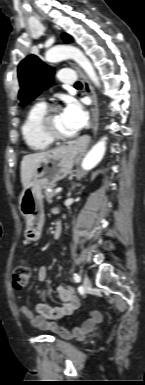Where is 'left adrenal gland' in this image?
Wrapping results in <instances>:
<instances>
[{
  "label": "left adrenal gland",
  "mask_w": 145,
  "mask_h": 385,
  "mask_svg": "<svg viewBox=\"0 0 145 385\" xmlns=\"http://www.w3.org/2000/svg\"><path fill=\"white\" fill-rule=\"evenodd\" d=\"M73 189H74V186H73ZM71 194V192H69V195Z\"/></svg>",
  "instance_id": "obj_1"
}]
</instances>
